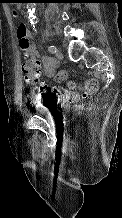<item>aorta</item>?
Wrapping results in <instances>:
<instances>
[{
  "label": "aorta",
  "instance_id": "1",
  "mask_svg": "<svg viewBox=\"0 0 122 218\" xmlns=\"http://www.w3.org/2000/svg\"><path fill=\"white\" fill-rule=\"evenodd\" d=\"M28 14H29V20L31 23L36 22V16H35V8H34V3H29L28 4Z\"/></svg>",
  "mask_w": 122,
  "mask_h": 218
}]
</instances>
